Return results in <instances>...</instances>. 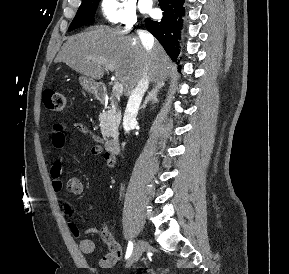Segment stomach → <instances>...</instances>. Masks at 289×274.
<instances>
[{"mask_svg": "<svg viewBox=\"0 0 289 274\" xmlns=\"http://www.w3.org/2000/svg\"><path fill=\"white\" fill-rule=\"evenodd\" d=\"M80 85L89 93H96L97 83L90 77L81 76L79 77Z\"/></svg>", "mask_w": 289, "mask_h": 274, "instance_id": "obj_1", "label": "stomach"}]
</instances>
